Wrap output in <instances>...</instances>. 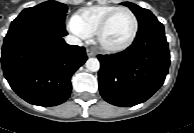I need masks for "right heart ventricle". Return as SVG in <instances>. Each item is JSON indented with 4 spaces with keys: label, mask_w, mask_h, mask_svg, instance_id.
Returning a JSON list of instances; mask_svg holds the SVG:
<instances>
[{
    "label": "right heart ventricle",
    "mask_w": 194,
    "mask_h": 133,
    "mask_svg": "<svg viewBox=\"0 0 194 133\" xmlns=\"http://www.w3.org/2000/svg\"><path fill=\"white\" fill-rule=\"evenodd\" d=\"M113 11L114 9H110V8L92 10V11L86 12L83 15V20L90 28L95 29Z\"/></svg>",
    "instance_id": "1"
}]
</instances>
